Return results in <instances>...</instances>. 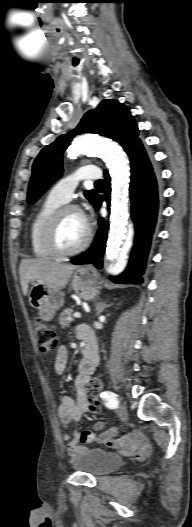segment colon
Listing matches in <instances>:
<instances>
[{
	"label": "colon",
	"instance_id": "1",
	"mask_svg": "<svg viewBox=\"0 0 192 527\" xmlns=\"http://www.w3.org/2000/svg\"><path fill=\"white\" fill-rule=\"evenodd\" d=\"M33 330L38 346L42 352L50 353L54 352L57 349L58 338L53 328H51L50 326L40 320H36L34 323ZM100 388L101 382L99 380H95L87 392L88 400L91 403L92 409L95 411H98L99 408ZM134 433L139 434L137 432Z\"/></svg>",
	"mask_w": 192,
	"mask_h": 527
}]
</instances>
